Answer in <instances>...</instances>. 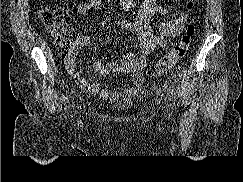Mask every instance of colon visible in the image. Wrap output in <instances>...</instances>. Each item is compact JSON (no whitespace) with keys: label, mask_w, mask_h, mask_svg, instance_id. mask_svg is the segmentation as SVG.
I'll use <instances>...</instances> for the list:
<instances>
[{"label":"colon","mask_w":243,"mask_h":182,"mask_svg":"<svg viewBox=\"0 0 243 182\" xmlns=\"http://www.w3.org/2000/svg\"><path fill=\"white\" fill-rule=\"evenodd\" d=\"M193 0H189L187 8L192 9ZM39 18L44 24L47 32L53 37L58 54L67 59L75 55V32L70 26V14L63 7L44 8L39 13ZM195 33L193 24H189L179 42L172 50L161 57L153 68L148 70L149 76H156L174 67L176 62L183 58L191 44Z\"/></svg>","instance_id":"colon-1"}]
</instances>
